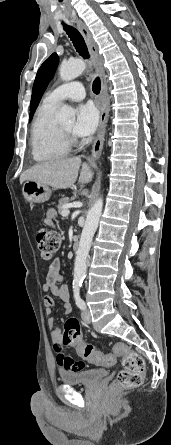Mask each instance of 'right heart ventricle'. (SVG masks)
<instances>
[{
	"label": "right heart ventricle",
	"instance_id": "1",
	"mask_svg": "<svg viewBox=\"0 0 171 445\" xmlns=\"http://www.w3.org/2000/svg\"><path fill=\"white\" fill-rule=\"evenodd\" d=\"M56 107L57 105L44 102L32 122L31 152L36 161L58 159L69 151L58 132V124L54 118Z\"/></svg>",
	"mask_w": 171,
	"mask_h": 445
}]
</instances>
